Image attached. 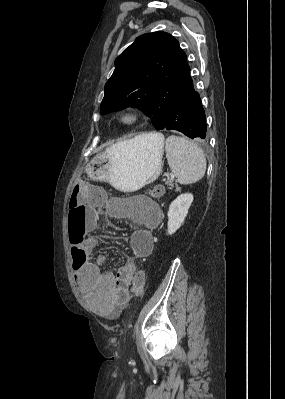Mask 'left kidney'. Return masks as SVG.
<instances>
[{
	"instance_id": "1",
	"label": "left kidney",
	"mask_w": 285,
	"mask_h": 399,
	"mask_svg": "<svg viewBox=\"0 0 285 399\" xmlns=\"http://www.w3.org/2000/svg\"><path fill=\"white\" fill-rule=\"evenodd\" d=\"M193 202V195L191 193H184L179 195L173 202H171L168 211V234H174L183 224L188 210Z\"/></svg>"
}]
</instances>
